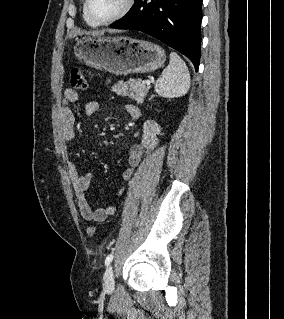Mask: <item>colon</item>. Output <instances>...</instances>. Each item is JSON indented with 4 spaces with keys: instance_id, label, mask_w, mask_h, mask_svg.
<instances>
[{
    "instance_id": "colon-1",
    "label": "colon",
    "mask_w": 284,
    "mask_h": 319,
    "mask_svg": "<svg viewBox=\"0 0 284 319\" xmlns=\"http://www.w3.org/2000/svg\"><path fill=\"white\" fill-rule=\"evenodd\" d=\"M70 86L73 89L82 90L87 86V80L84 70L80 66H74L70 71ZM87 233L89 237H94L96 234V229L94 226H89L87 228Z\"/></svg>"
}]
</instances>
